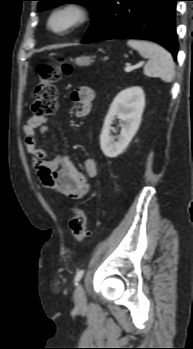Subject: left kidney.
Segmentation results:
<instances>
[{
  "label": "left kidney",
  "instance_id": "left-kidney-1",
  "mask_svg": "<svg viewBox=\"0 0 193 349\" xmlns=\"http://www.w3.org/2000/svg\"><path fill=\"white\" fill-rule=\"evenodd\" d=\"M144 107L145 95L141 87H130L118 93L105 117L100 135V146L106 157L115 158L126 149L139 128ZM115 118L123 122L117 141L110 133Z\"/></svg>",
  "mask_w": 193,
  "mask_h": 349
}]
</instances>
